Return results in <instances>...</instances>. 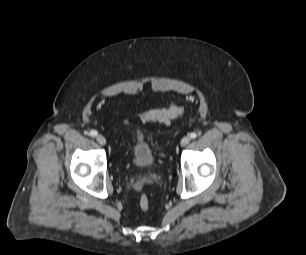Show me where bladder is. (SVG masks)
<instances>
[{
    "label": "bladder",
    "instance_id": "1",
    "mask_svg": "<svg viewBox=\"0 0 306 255\" xmlns=\"http://www.w3.org/2000/svg\"><path fill=\"white\" fill-rule=\"evenodd\" d=\"M130 163L137 169H147L155 163V156L151 146L144 140H138L132 148Z\"/></svg>",
    "mask_w": 306,
    "mask_h": 255
}]
</instances>
